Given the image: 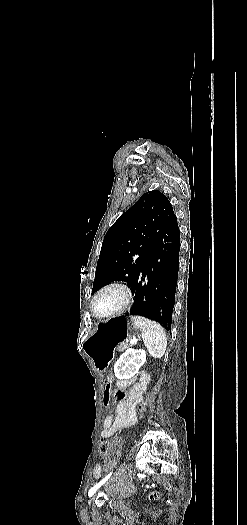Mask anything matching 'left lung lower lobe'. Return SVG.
I'll use <instances>...</instances> for the list:
<instances>
[{"label":"left lung lower lobe","mask_w":247,"mask_h":525,"mask_svg":"<svg viewBox=\"0 0 247 525\" xmlns=\"http://www.w3.org/2000/svg\"><path fill=\"white\" fill-rule=\"evenodd\" d=\"M179 251L180 232L174 214L152 240L146 263L130 286L135 294L130 314L155 320L169 331L175 303Z\"/></svg>","instance_id":"obj_1"}]
</instances>
